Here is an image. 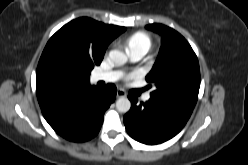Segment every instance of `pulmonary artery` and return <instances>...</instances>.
<instances>
[{
	"instance_id": "pulmonary-artery-1",
	"label": "pulmonary artery",
	"mask_w": 248,
	"mask_h": 165,
	"mask_svg": "<svg viewBox=\"0 0 248 165\" xmlns=\"http://www.w3.org/2000/svg\"><path fill=\"white\" fill-rule=\"evenodd\" d=\"M148 52L147 48L138 47L129 50V57L132 62H137L142 59ZM122 73L120 71H109V72H98L93 76L95 81H104V82H115L120 79ZM144 101L150 100V94H146L143 97Z\"/></svg>"
}]
</instances>
